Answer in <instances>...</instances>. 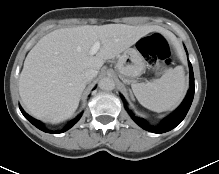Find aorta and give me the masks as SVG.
Segmentation results:
<instances>
[{
  "instance_id": "1",
  "label": "aorta",
  "mask_w": 219,
  "mask_h": 174,
  "mask_svg": "<svg viewBox=\"0 0 219 174\" xmlns=\"http://www.w3.org/2000/svg\"><path fill=\"white\" fill-rule=\"evenodd\" d=\"M99 88L104 91H111L115 88V82L110 77H104L99 81Z\"/></svg>"
}]
</instances>
